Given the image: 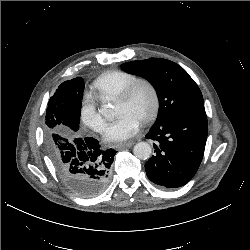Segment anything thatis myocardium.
<instances>
[{"label": "myocardium", "instance_id": "1", "mask_svg": "<svg viewBox=\"0 0 250 250\" xmlns=\"http://www.w3.org/2000/svg\"><path fill=\"white\" fill-rule=\"evenodd\" d=\"M141 86L148 89V91L150 92V95H151V100H152L151 107H150L149 111L141 119L142 122H147L156 116V114L159 110V106H160V98H159L158 90H157L155 84L151 80H149L147 78L135 79L133 82L128 84L116 96V100L122 101V102L129 101L131 99V97L133 96V94L135 93V91Z\"/></svg>", "mask_w": 250, "mask_h": 250}]
</instances>
